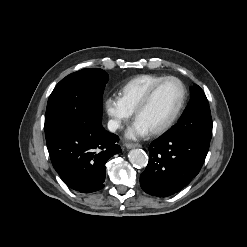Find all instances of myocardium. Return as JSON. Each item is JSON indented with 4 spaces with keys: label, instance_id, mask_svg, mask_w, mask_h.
Returning <instances> with one entry per match:
<instances>
[{
    "label": "myocardium",
    "instance_id": "myocardium-1",
    "mask_svg": "<svg viewBox=\"0 0 247 247\" xmlns=\"http://www.w3.org/2000/svg\"><path fill=\"white\" fill-rule=\"evenodd\" d=\"M169 81L177 82L180 85L181 92H182L181 99H180V102H179V105H178L176 111L173 113V115L170 117V119L165 124L160 126L159 128L150 132L151 135H154V136H158V135H161V134L167 132L175 124V122L178 120V118L180 117V115H181V113L185 107L186 100H187V88H186L185 84L183 83V81L177 77H174V76H167V77L163 78L162 80H160L159 82L154 84L149 89V91L146 93V95L143 97L141 102L138 104V106L134 110V118L136 119L137 116L143 110H145L148 107V105L151 103L153 97L155 96V94L159 90V88L163 84H165Z\"/></svg>",
    "mask_w": 247,
    "mask_h": 247
}]
</instances>
